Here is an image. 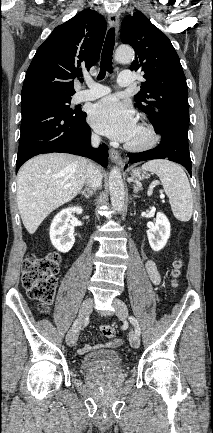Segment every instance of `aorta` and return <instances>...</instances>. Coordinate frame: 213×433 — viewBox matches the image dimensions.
Segmentation results:
<instances>
[{"label": "aorta", "instance_id": "1", "mask_svg": "<svg viewBox=\"0 0 213 433\" xmlns=\"http://www.w3.org/2000/svg\"><path fill=\"white\" fill-rule=\"evenodd\" d=\"M134 51L129 46H120L115 52V60L119 63H128L134 59ZM109 192L113 208L121 212L125 202V188L121 171L118 167L112 168L109 174Z\"/></svg>", "mask_w": 213, "mask_h": 433}]
</instances>
